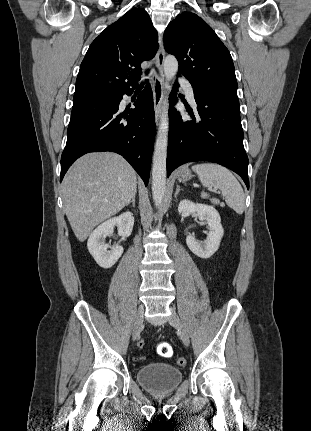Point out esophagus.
<instances>
[{"mask_svg": "<svg viewBox=\"0 0 311 431\" xmlns=\"http://www.w3.org/2000/svg\"><path fill=\"white\" fill-rule=\"evenodd\" d=\"M165 58V50L163 44L160 45V48L157 52L156 63L159 70V73L153 72L151 74V82L153 87V98H154V112H155V123L156 126L159 125V116L161 113V103L163 99V62Z\"/></svg>", "mask_w": 311, "mask_h": 431, "instance_id": "34e87169", "label": "esophagus"}]
</instances>
